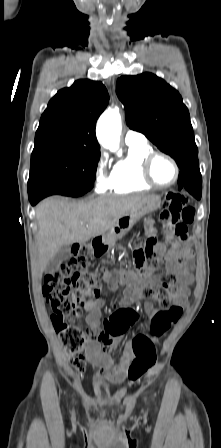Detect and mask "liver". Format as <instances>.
<instances>
[{"instance_id": "obj_1", "label": "liver", "mask_w": 221, "mask_h": 448, "mask_svg": "<svg viewBox=\"0 0 221 448\" xmlns=\"http://www.w3.org/2000/svg\"><path fill=\"white\" fill-rule=\"evenodd\" d=\"M154 195H105L88 202L71 203L50 197L36 207L38 266L40 275L63 245L86 243L105 234L117 221Z\"/></svg>"}]
</instances>
